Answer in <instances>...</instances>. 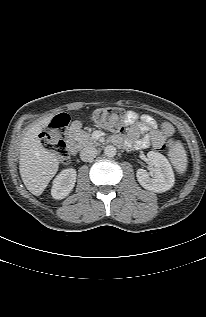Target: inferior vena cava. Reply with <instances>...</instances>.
Returning <instances> with one entry per match:
<instances>
[{
  "mask_svg": "<svg viewBox=\"0 0 206 317\" xmlns=\"http://www.w3.org/2000/svg\"><path fill=\"white\" fill-rule=\"evenodd\" d=\"M97 155V150L94 147H85L80 152V158L82 161L87 162L93 160Z\"/></svg>",
  "mask_w": 206,
  "mask_h": 317,
  "instance_id": "1",
  "label": "inferior vena cava"
}]
</instances>
